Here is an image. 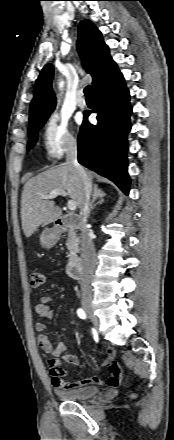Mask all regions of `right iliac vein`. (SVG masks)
<instances>
[{"label": "right iliac vein", "instance_id": "63e3f726", "mask_svg": "<svg viewBox=\"0 0 174 440\" xmlns=\"http://www.w3.org/2000/svg\"><path fill=\"white\" fill-rule=\"evenodd\" d=\"M83 309L88 314V316L91 318V320L94 322L95 325L99 324L98 317L94 314V310L91 304L89 303H83Z\"/></svg>", "mask_w": 174, "mask_h": 440}]
</instances>
